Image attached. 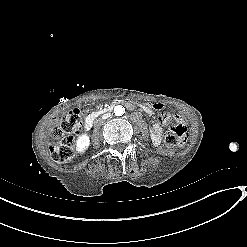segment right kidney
Wrapping results in <instances>:
<instances>
[{
  "instance_id": "right-kidney-1",
  "label": "right kidney",
  "mask_w": 247,
  "mask_h": 247,
  "mask_svg": "<svg viewBox=\"0 0 247 247\" xmlns=\"http://www.w3.org/2000/svg\"><path fill=\"white\" fill-rule=\"evenodd\" d=\"M90 144V139L87 134H82L78 137L76 141V151L79 153H84Z\"/></svg>"
}]
</instances>
